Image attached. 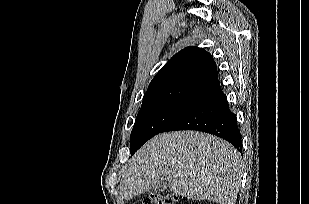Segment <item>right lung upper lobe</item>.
Returning a JSON list of instances; mask_svg holds the SVG:
<instances>
[{"instance_id": "cb5924a9", "label": "right lung upper lobe", "mask_w": 309, "mask_h": 204, "mask_svg": "<svg viewBox=\"0 0 309 204\" xmlns=\"http://www.w3.org/2000/svg\"><path fill=\"white\" fill-rule=\"evenodd\" d=\"M221 92L213 57L201 48L187 47L156 74L142 104L170 100L198 104Z\"/></svg>"}]
</instances>
